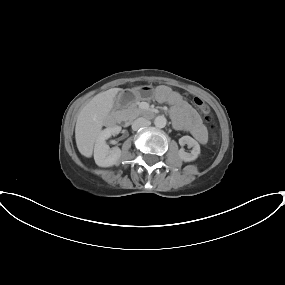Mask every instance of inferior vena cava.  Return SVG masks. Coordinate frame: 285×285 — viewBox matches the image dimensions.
<instances>
[{"instance_id": "1", "label": "inferior vena cava", "mask_w": 285, "mask_h": 285, "mask_svg": "<svg viewBox=\"0 0 285 285\" xmlns=\"http://www.w3.org/2000/svg\"><path fill=\"white\" fill-rule=\"evenodd\" d=\"M150 124H151V122H150L149 120H147V119L141 117V118L136 119V120L133 122V124H132V129H133L134 131H136V130L142 128V127H147V126H149Z\"/></svg>"}]
</instances>
